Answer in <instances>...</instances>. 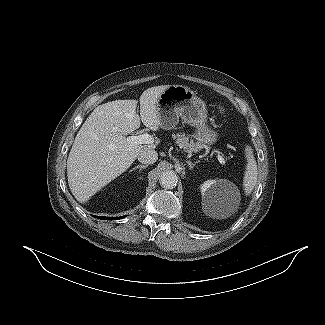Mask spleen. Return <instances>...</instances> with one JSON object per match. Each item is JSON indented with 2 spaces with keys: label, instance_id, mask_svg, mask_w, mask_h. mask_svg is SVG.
Here are the masks:
<instances>
[{
  "label": "spleen",
  "instance_id": "1",
  "mask_svg": "<svg viewBox=\"0 0 325 325\" xmlns=\"http://www.w3.org/2000/svg\"><path fill=\"white\" fill-rule=\"evenodd\" d=\"M245 152L247 157V164L244 172L243 187L245 194L249 195L256 185L258 169L255 157L253 155V149L250 146H246Z\"/></svg>",
  "mask_w": 325,
  "mask_h": 325
}]
</instances>
